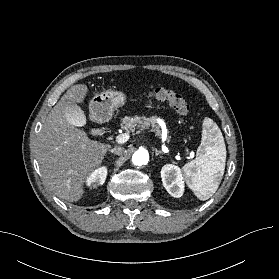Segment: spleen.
<instances>
[{
	"label": "spleen",
	"mask_w": 279,
	"mask_h": 279,
	"mask_svg": "<svg viewBox=\"0 0 279 279\" xmlns=\"http://www.w3.org/2000/svg\"><path fill=\"white\" fill-rule=\"evenodd\" d=\"M226 162V146L217 124L205 118L202 124V141L195 160L183 166V175L200 200L209 199L218 189Z\"/></svg>",
	"instance_id": "obj_1"
}]
</instances>
